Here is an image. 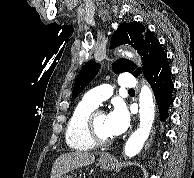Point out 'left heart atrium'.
Masks as SVG:
<instances>
[{
  "label": "left heart atrium",
  "mask_w": 194,
  "mask_h": 178,
  "mask_svg": "<svg viewBox=\"0 0 194 178\" xmlns=\"http://www.w3.org/2000/svg\"><path fill=\"white\" fill-rule=\"evenodd\" d=\"M129 115L125 107L121 104H117L106 115V129L111 137L119 136L129 126Z\"/></svg>",
  "instance_id": "obj_1"
}]
</instances>
